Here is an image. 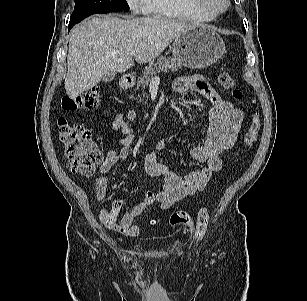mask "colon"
Returning a JSON list of instances; mask_svg holds the SVG:
<instances>
[{"label": "colon", "instance_id": "1", "mask_svg": "<svg viewBox=\"0 0 307 301\" xmlns=\"http://www.w3.org/2000/svg\"><path fill=\"white\" fill-rule=\"evenodd\" d=\"M221 86L232 92L235 99H242L243 92L237 87L235 79L228 73L219 75ZM101 103V94L98 88H91L73 98H65L62 107L66 111L91 110L97 108ZM261 119L258 112L252 114L247 131L244 135V151H248L255 143L260 130ZM59 136L64 145L65 156L72 172L90 176L96 171L97 165L102 161L103 156L97 147L92 133L86 127L70 122L66 119H59ZM210 216L209 206L202 207L193 221L187 211H176L170 215L169 223L173 227L186 225L192 229L193 234L199 237L204 234Z\"/></svg>", "mask_w": 307, "mask_h": 301}]
</instances>
